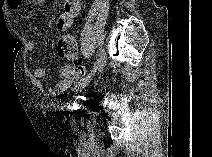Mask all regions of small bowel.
<instances>
[{"mask_svg": "<svg viewBox=\"0 0 212 157\" xmlns=\"http://www.w3.org/2000/svg\"><path fill=\"white\" fill-rule=\"evenodd\" d=\"M7 5L12 10L26 8L27 3L22 0H7ZM81 3L79 0H67L64 3L63 12L57 19V29L66 31L72 27L75 17L79 14ZM35 47L34 41L28 42V49L33 50ZM47 73V68L43 65L37 66L33 70V77L42 79ZM76 67L71 65H63L59 70V81L50 90L54 94L63 93L69 89L70 83L77 79Z\"/></svg>", "mask_w": 212, "mask_h": 157, "instance_id": "small-bowel-1", "label": "small bowel"}]
</instances>
